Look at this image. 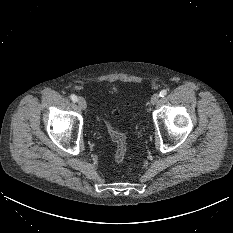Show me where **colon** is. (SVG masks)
Returning <instances> with one entry per match:
<instances>
[{
	"mask_svg": "<svg viewBox=\"0 0 233 233\" xmlns=\"http://www.w3.org/2000/svg\"><path fill=\"white\" fill-rule=\"evenodd\" d=\"M107 127L109 135L116 146L114 158L118 163H121L124 161L127 152V143L125 135L122 132L115 129L111 123H107Z\"/></svg>",
	"mask_w": 233,
	"mask_h": 233,
	"instance_id": "colon-1",
	"label": "colon"
}]
</instances>
